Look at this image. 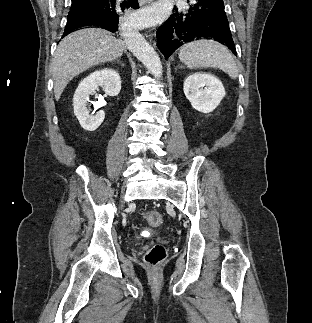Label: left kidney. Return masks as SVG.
I'll use <instances>...</instances> for the list:
<instances>
[{
    "instance_id": "obj_1",
    "label": "left kidney",
    "mask_w": 312,
    "mask_h": 323,
    "mask_svg": "<svg viewBox=\"0 0 312 323\" xmlns=\"http://www.w3.org/2000/svg\"><path fill=\"white\" fill-rule=\"evenodd\" d=\"M184 94L191 102L192 108L203 112V114H208L219 106L225 96V90L222 82L218 78H214L212 74L197 72V74L187 76L184 82Z\"/></svg>"
}]
</instances>
